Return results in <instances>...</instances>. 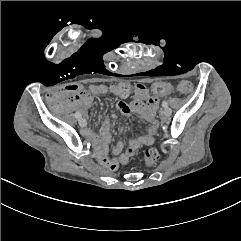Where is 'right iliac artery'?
<instances>
[{
  "instance_id": "1",
  "label": "right iliac artery",
  "mask_w": 241,
  "mask_h": 241,
  "mask_svg": "<svg viewBox=\"0 0 241 241\" xmlns=\"http://www.w3.org/2000/svg\"><path fill=\"white\" fill-rule=\"evenodd\" d=\"M75 117H76L77 119H80V118H81V114H80L79 112H76V113H75Z\"/></svg>"
}]
</instances>
